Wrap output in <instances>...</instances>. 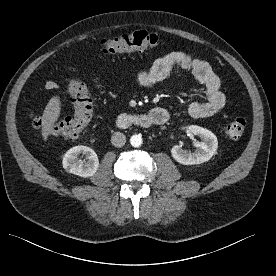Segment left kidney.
I'll list each match as a JSON object with an SVG mask.
<instances>
[{
	"label": "left kidney",
	"mask_w": 276,
	"mask_h": 276,
	"mask_svg": "<svg viewBox=\"0 0 276 276\" xmlns=\"http://www.w3.org/2000/svg\"><path fill=\"white\" fill-rule=\"evenodd\" d=\"M186 131L200 136L201 142L197 141L194 143V146L197 148L195 152L183 150L179 145L173 146L171 149L172 157L183 165L201 164L210 160L218 147V141L215 134L206 128L196 125L187 127Z\"/></svg>",
	"instance_id": "1"
}]
</instances>
